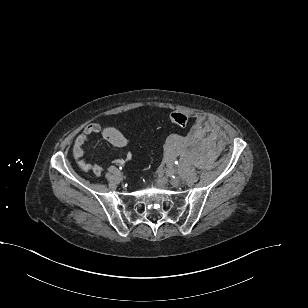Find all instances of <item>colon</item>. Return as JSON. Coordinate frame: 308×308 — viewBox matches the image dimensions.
<instances>
[{"instance_id": "obj_1", "label": "colon", "mask_w": 308, "mask_h": 308, "mask_svg": "<svg viewBox=\"0 0 308 308\" xmlns=\"http://www.w3.org/2000/svg\"><path fill=\"white\" fill-rule=\"evenodd\" d=\"M170 121L176 126L184 127L188 124L189 118L184 113L173 112L170 114Z\"/></svg>"}]
</instances>
